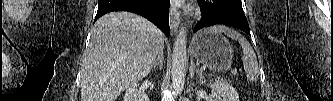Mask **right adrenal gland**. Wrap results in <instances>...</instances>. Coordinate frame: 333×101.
<instances>
[{
  "label": "right adrenal gland",
  "instance_id": "1",
  "mask_svg": "<svg viewBox=\"0 0 333 101\" xmlns=\"http://www.w3.org/2000/svg\"><path fill=\"white\" fill-rule=\"evenodd\" d=\"M164 63V55H163V49L158 53L156 60L154 61V69L159 66V69L161 70L163 68Z\"/></svg>",
  "mask_w": 333,
  "mask_h": 101
}]
</instances>
